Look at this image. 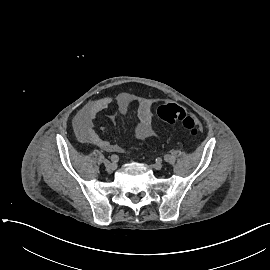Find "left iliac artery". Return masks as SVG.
Returning <instances> with one entry per match:
<instances>
[{
    "label": "left iliac artery",
    "mask_w": 270,
    "mask_h": 270,
    "mask_svg": "<svg viewBox=\"0 0 270 270\" xmlns=\"http://www.w3.org/2000/svg\"><path fill=\"white\" fill-rule=\"evenodd\" d=\"M164 160L166 162L173 163L174 162V157H172L171 155H165Z\"/></svg>",
    "instance_id": "1"
}]
</instances>
